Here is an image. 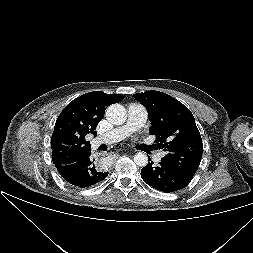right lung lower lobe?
<instances>
[{
  "label": "right lung lower lobe",
  "instance_id": "right-lung-lower-lobe-1",
  "mask_svg": "<svg viewBox=\"0 0 253 253\" xmlns=\"http://www.w3.org/2000/svg\"><path fill=\"white\" fill-rule=\"evenodd\" d=\"M90 155L91 153L74 163L58 165L56 168L69 184L80 188L92 186L104 180L108 172L100 171Z\"/></svg>",
  "mask_w": 253,
  "mask_h": 253
}]
</instances>
